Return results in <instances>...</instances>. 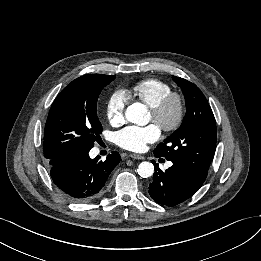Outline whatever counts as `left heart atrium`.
<instances>
[{
    "instance_id": "39dd6f15",
    "label": "left heart atrium",
    "mask_w": 261,
    "mask_h": 261,
    "mask_svg": "<svg viewBox=\"0 0 261 261\" xmlns=\"http://www.w3.org/2000/svg\"><path fill=\"white\" fill-rule=\"evenodd\" d=\"M160 136V129L155 124L131 125L117 132L116 143L123 149L140 152L146 148L147 144L159 140Z\"/></svg>"
}]
</instances>
